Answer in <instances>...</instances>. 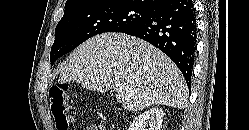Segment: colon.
Instances as JSON below:
<instances>
[{"label":"colon","mask_w":249,"mask_h":130,"mask_svg":"<svg viewBox=\"0 0 249 130\" xmlns=\"http://www.w3.org/2000/svg\"><path fill=\"white\" fill-rule=\"evenodd\" d=\"M49 100L57 130H69L74 121V110L68 87L63 84L53 86L49 91Z\"/></svg>","instance_id":"5ec220e1"}]
</instances>
